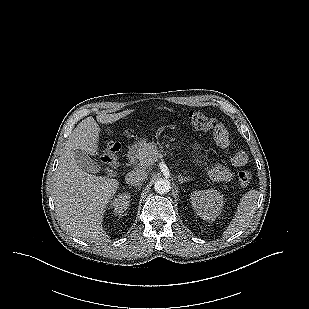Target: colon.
<instances>
[{
	"label": "colon",
	"mask_w": 309,
	"mask_h": 309,
	"mask_svg": "<svg viewBox=\"0 0 309 309\" xmlns=\"http://www.w3.org/2000/svg\"><path fill=\"white\" fill-rule=\"evenodd\" d=\"M189 124L195 129L202 131H216L219 124L216 120L207 117L201 112L190 111L187 114ZM118 147L112 141H107L101 162L104 166L109 168H117L119 165L117 157ZM252 179V170L247 169L239 172L238 181L241 185H247Z\"/></svg>",
	"instance_id": "obj_1"
}]
</instances>
